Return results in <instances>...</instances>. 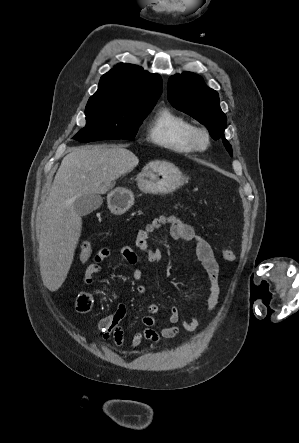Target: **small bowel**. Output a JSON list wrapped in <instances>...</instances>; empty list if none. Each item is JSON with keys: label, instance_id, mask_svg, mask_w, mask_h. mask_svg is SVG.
<instances>
[{"label": "small bowel", "instance_id": "small-bowel-1", "mask_svg": "<svg viewBox=\"0 0 299 443\" xmlns=\"http://www.w3.org/2000/svg\"><path fill=\"white\" fill-rule=\"evenodd\" d=\"M164 225L170 226V233L175 240H184L194 242L196 248V255L200 261L207 279V310L211 311L217 304L219 298V266L215 258L213 250L210 244L199 235L195 229L183 222L177 216H159L153 219L145 228L141 229L134 239V247L144 252L147 259L151 263H159L162 260V252L158 249H151L149 247V239L152 232ZM123 259L131 267L135 266L138 262V256L132 246L125 245L120 250ZM110 256V250L102 248L95 256L94 262L90 264L84 273V282L86 284H92L94 276L100 271V264L108 259ZM144 277V272L141 269H134L132 272V279L134 281H140ZM137 291L141 295L148 293V288L145 285H139ZM112 298L119 299V296L113 290L111 291ZM93 304V296L87 291H82L76 300V307L81 312H86L91 309ZM159 311V306L156 303H151L147 308V315L142 319L144 329L136 332L129 343V348L138 347L143 341H149L151 343H158L163 338H174L179 334V328L176 326L179 320V309L173 307L171 309L170 323L168 325L157 327V320L155 315ZM126 306L123 303H119L117 308L111 314H108L100 319L98 328L104 339H112L116 346L123 347L125 345V335L121 326L122 320L126 316ZM184 329L188 332H193L198 326V319L195 315L184 323Z\"/></svg>", "mask_w": 299, "mask_h": 443}]
</instances>
